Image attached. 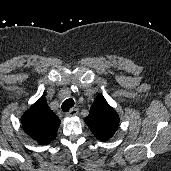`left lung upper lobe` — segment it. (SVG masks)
Listing matches in <instances>:
<instances>
[{
  "instance_id": "5c2ea615",
  "label": "left lung upper lobe",
  "mask_w": 171,
  "mask_h": 171,
  "mask_svg": "<svg viewBox=\"0 0 171 171\" xmlns=\"http://www.w3.org/2000/svg\"><path fill=\"white\" fill-rule=\"evenodd\" d=\"M85 122L99 140L107 141L118 128L119 116L103 95L98 94Z\"/></svg>"
}]
</instances>
